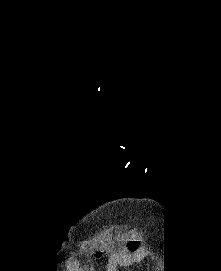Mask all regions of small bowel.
<instances>
[{"label": "small bowel", "instance_id": "c3829d8e", "mask_svg": "<svg viewBox=\"0 0 221 271\" xmlns=\"http://www.w3.org/2000/svg\"><path fill=\"white\" fill-rule=\"evenodd\" d=\"M147 254V249H141L132 254L116 252L111 256L109 260L107 271H116L117 267L131 266L135 263L142 261Z\"/></svg>", "mask_w": 221, "mask_h": 271}]
</instances>
